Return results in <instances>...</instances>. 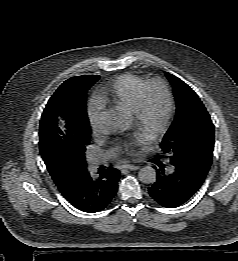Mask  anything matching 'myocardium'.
I'll use <instances>...</instances> for the list:
<instances>
[{"label": "myocardium", "instance_id": "1", "mask_svg": "<svg viewBox=\"0 0 238 261\" xmlns=\"http://www.w3.org/2000/svg\"><path fill=\"white\" fill-rule=\"evenodd\" d=\"M155 86L160 87L164 93L166 99V109L162 120L150 133L151 138L159 137L168 129L174 114L175 102L169 83L161 77H155L146 81L138 93L135 108L131 113L134 123L137 127L141 128L146 118L147 97L150 90Z\"/></svg>", "mask_w": 238, "mask_h": 261}]
</instances>
